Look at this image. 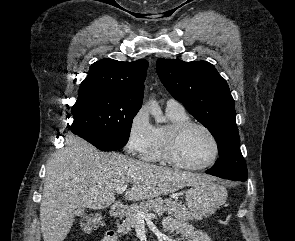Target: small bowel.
<instances>
[{
  "label": "small bowel",
  "mask_w": 295,
  "mask_h": 241,
  "mask_svg": "<svg viewBox=\"0 0 295 241\" xmlns=\"http://www.w3.org/2000/svg\"><path fill=\"white\" fill-rule=\"evenodd\" d=\"M163 228L166 232L179 235L187 241H211L207 233L197 230L189 223L171 216L165 217ZM101 241H116V236L113 232H107Z\"/></svg>",
  "instance_id": "c3829d8e"
}]
</instances>
